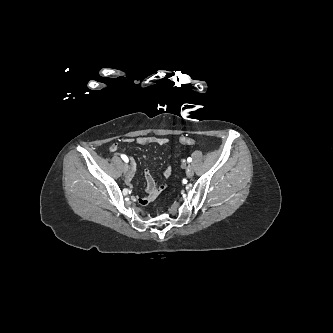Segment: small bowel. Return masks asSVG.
<instances>
[{"label": "small bowel", "instance_id": "c3829d8e", "mask_svg": "<svg viewBox=\"0 0 333 333\" xmlns=\"http://www.w3.org/2000/svg\"><path fill=\"white\" fill-rule=\"evenodd\" d=\"M128 141H134L138 145H147V144H156L159 146H165L168 143V140L164 137L158 136V137H146V136H140L135 139H128ZM118 149L117 144H112L110 146V151L115 152ZM135 171L134 161L132 159V165L130 168L129 173L127 174L126 180L127 182H131L133 175ZM171 167H167L164 171V176L166 178H169L171 176ZM145 179H146V188H147V196L140 197L138 199L139 203L141 205H148L153 200L156 199V197L164 190V185H158L155 180L153 179L150 171L146 169L145 171Z\"/></svg>", "mask_w": 333, "mask_h": 333}]
</instances>
